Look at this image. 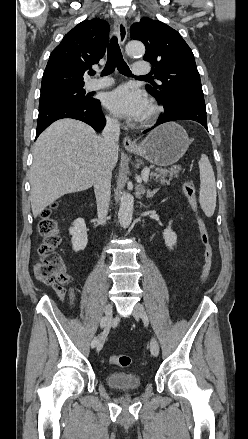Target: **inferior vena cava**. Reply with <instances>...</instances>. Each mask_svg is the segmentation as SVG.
I'll return each instance as SVG.
<instances>
[{
  "label": "inferior vena cava",
  "mask_w": 248,
  "mask_h": 439,
  "mask_svg": "<svg viewBox=\"0 0 248 439\" xmlns=\"http://www.w3.org/2000/svg\"><path fill=\"white\" fill-rule=\"evenodd\" d=\"M102 143L109 152L118 149V140L120 135V123L115 118H107L105 128L103 130ZM111 176L110 167L101 168L94 180V191L97 201V214L99 221L106 223V217L109 209L111 195Z\"/></svg>",
  "instance_id": "inferior-vena-cava-1"
}]
</instances>
